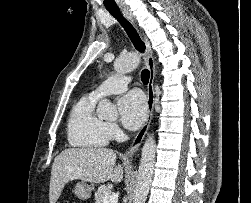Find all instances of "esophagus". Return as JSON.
<instances>
[{"instance_id": "34e87169", "label": "esophagus", "mask_w": 251, "mask_h": 203, "mask_svg": "<svg viewBox=\"0 0 251 203\" xmlns=\"http://www.w3.org/2000/svg\"><path fill=\"white\" fill-rule=\"evenodd\" d=\"M123 15L134 25L137 27L136 21L133 18L132 13L128 9H123L122 10ZM144 43L146 46V55H145V64L147 68L149 69L150 72V78H149V83L147 87V108H148V113H147V118L142 126V128L139 130V132L136 134L134 137L130 147L125 153V157L129 158L132 157L135 152L138 150L139 146L141 145L152 120L153 116V110H154V98H155V91H154V81H155V75H156V70H155V61L153 58V51L150 45L149 40L147 39L146 36H143Z\"/></svg>"}]
</instances>
